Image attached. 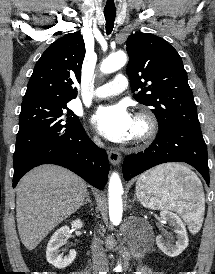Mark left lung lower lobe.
<instances>
[{"mask_svg":"<svg viewBox=\"0 0 215 274\" xmlns=\"http://www.w3.org/2000/svg\"><path fill=\"white\" fill-rule=\"evenodd\" d=\"M166 162H185L195 167L209 185L207 147L200 128L171 125L159 128L149 148L128 155L123 162L125 180Z\"/></svg>","mask_w":215,"mask_h":274,"instance_id":"1","label":"left lung lower lobe"}]
</instances>
